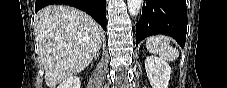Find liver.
<instances>
[{
    "instance_id": "liver-1",
    "label": "liver",
    "mask_w": 227,
    "mask_h": 88,
    "mask_svg": "<svg viewBox=\"0 0 227 88\" xmlns=\"http://www.w3.org/2000/svg\"><path fill=\"white\" fill-rule=\"evenodd\" d=\"M35 34L48 88L83 71L103 39V30L92 17L67 5H48L38 11Z\"/></svg>"
}]
</instances>
